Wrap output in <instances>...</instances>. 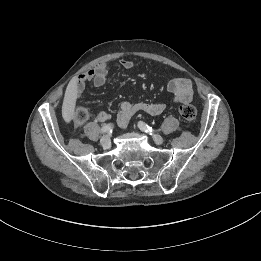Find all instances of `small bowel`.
I'll use <instances>...</instances> for the list:
<instances>
[{
    "mask_svg": "<svg viewBox=\"0 0 261 261\" xmlns=\"http://www.w3.org/2000/svg\"><path fill=\"white\" fill-rule=\"evenodd\" d=\"M124 69H133L134 62L128 59H122L120 62ZM108 75V68L105 63L99 64L87 72L79 75L74 83L68 89V96L71 101H77L82 95L87 82H92L96 87L105 85ZM167 90L173 95V101L176 103H189L193 99L192 82L188 78L174 77L167 83ZM166 108L163 102L158 103H130L122 102L120 109L116 114V120L120 126H126L130 119L139 112L156 116L161 114ZM113 118V115L106 111H99L96 120L98 122H106Z\"/></svg>",
    "mask_w": 261,
    "mask_h": 261,
    "instance_id": "c3829d8e",
    "label": "small bowel"
}]
</instances>
